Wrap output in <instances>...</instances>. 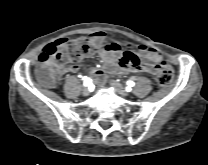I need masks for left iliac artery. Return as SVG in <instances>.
Instances as JSON below:
<instances>
[{
  "instance_id": "obj_1",
  "label": "left iliac artery",
  "mask_w": 208,
  "mask_h": 165,
  "mask_svg": "<svg viewBox=\"0 0 208 165\" xmlns=\"http://www.w3.org/2000/svg\"><path fill=\"white\" fill-rule=\"evenodd\" d=\"M127 85H128L127 91H130V87H133L135 85V83L133 81H128Z\"/></svg>"
}]
</instances>
